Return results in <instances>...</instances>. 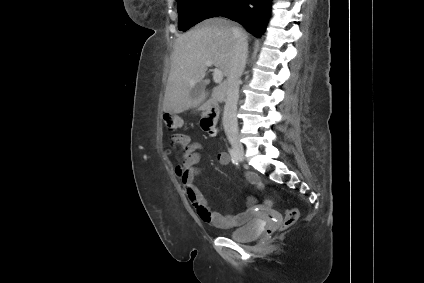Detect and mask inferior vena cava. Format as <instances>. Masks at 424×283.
Returning a JSON list of instances; mask_svg holds the SVG:
<instances>
[{
    "mask_svg": "<svg viewBox=\"0 0 424 283\" xmlns=\"http://www.w3.org/2000/svg\"><path fill=\"white\" fill-rule=\"evenodd\" d=\"M236 39L233 56L230 60V71L227 77L226 101L223 112V127L227 136L238 133V122L236 118L237 102L239 99L240 78L244 72L248 44L244 31L234 26L232 28Z\"/></svg>",
    "mask_w": 424,
    "mask_h": 283,
    "instance_id": "inferior-vena-cava-1",
    "label": "inferior vena cava"
}]
</instances>
